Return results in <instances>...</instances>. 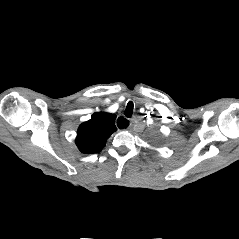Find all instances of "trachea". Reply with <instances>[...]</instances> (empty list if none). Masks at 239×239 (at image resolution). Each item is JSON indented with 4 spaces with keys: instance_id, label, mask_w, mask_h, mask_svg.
I'll use <instances>...</instances> for the list:
<instances>
[{
    "instance_id": "trachea-1",
    "label": "trachea",
    "mask_w": 239,
    "mask_h": 239,
    "mask_svg": "<svg viewBox=\"0 0 239 239\" xmlns=\"http://www.w3.org/2000/svg\"><path fill=\"white\" fill-rule=\"evenodd\" d=\"M133 108H134V104H133V102L132 101H129L128 102V104H127V106H126V109H125V111H124V115L126 116V117H131L132 116V113H133Z\"/></svg>"
}]
</instances>
